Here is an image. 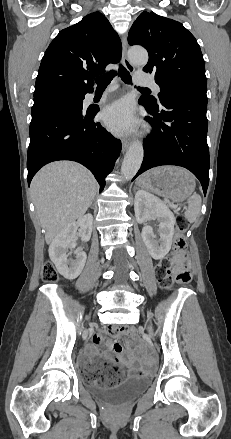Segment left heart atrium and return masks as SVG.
<instances>
[{"label":"left heart atrium","mask_w":231,"mask_h":439,"mask_svg":"<svg viewBox=\"0 0 231 439\" xmlns=\"http://www.w3.org/2000/svg\"><path fill=\"white\" fill-rule=\"evenodd\" d=\"M105 125L115 133H127L137 126L133 105L126 99H120L107 106L102 112Z\"/></svg>","instance_id":"39dd6f15"}]
</instances>
